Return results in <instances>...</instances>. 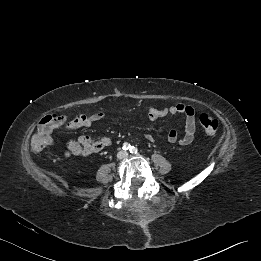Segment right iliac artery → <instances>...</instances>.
<instances>
[{
  "instance_id": "obj_1",
  "label": "right iliac artery",
  "mask_w": 261,
  "mask_h": 261,
  "mask_svg": "<svg viewBox=\"0 0 261 261\" xmlns=\"http://www.w3.org/2000/svg\"><path fill=\"white\" fill-rule=\"evenodd\" d=\"M122 148H123V150H130L131 145L128 143H124Z\"/></svg>"
}]
</instances>
